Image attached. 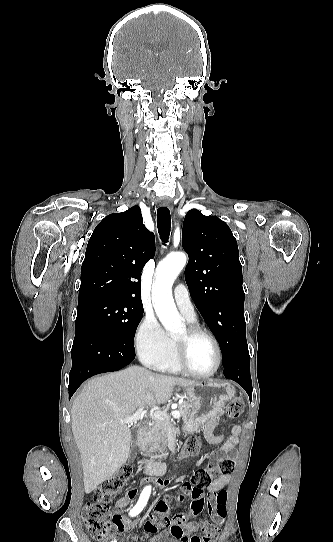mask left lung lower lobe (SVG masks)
<instances>
[{"label": "left lung lower lobe", "mask_w": 333, "mask_h": 542, "mask_svg": "<svg viewBox=\"0 0 333 542\" xmlns=\"http://www.w3.org/2000/svg\"><path fill=\"white\" fill-rule=\"evenodd\" d=\"M223 374L226 378L240 384L252 398V381L250 376V356L248 347L239 350L224 367Z\"/></svg>", "instance_id": "left-lung-lower-lobe-1"}]
</instances>
